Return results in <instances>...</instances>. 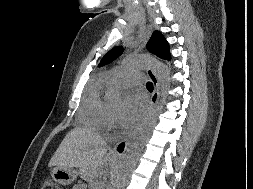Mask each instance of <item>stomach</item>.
Instances as JSON below:
<instances>
[{
  "label": "stomach",
  "mask_w": 253,
  "mask_h": 189,
  "mask_svg": "<svg viewBox=\"0 0 253 189\" xmlns=\"http://www.w3.org/2000/svg\"><path fill=\"white\" fill-rule=\"evenodd\" d=\"M53 180L63 186L72 184L77 178V172L72 168L56 166L51 172Z\"/></svg>",
  "instance_id": "stomach-1"
}]
</instances>
